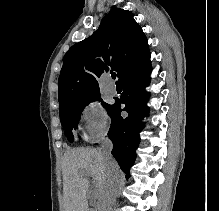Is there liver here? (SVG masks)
<instances>
[{
	"instance_id": "1",
	"label": "liver",
	"mask_w": 219,
	"mask_h": 211,
	"mask_svg": "<svg viewBox=\"0 0 219 211\" xmlns=\"http://www.w3.org/2000/svg\"><path fill=\"white\" fill-rule=\"evenodd\" d=\"M84 175L93 177L95 189H90V181ZM116 175L118 179H114ZM119 177L118 163L114 167H107L100 149L86 147V149L66 151L63 157L65 211H90L88 201L90 191L97 199L96 209L98 211L108 209L116 197Z\"/></svg>"
}]
</instances>
